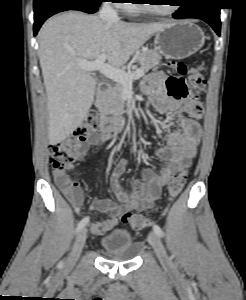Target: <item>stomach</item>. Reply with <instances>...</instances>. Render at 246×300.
<instances>
[{
	"label": "stomach",
	"mask_w": 246,
	"mask_h": 300,
	"mask_svg": "<svg viewBox=\"0 0 246 300\" xmlns=\"http://www.w3.org/2000/svg\"><path fill=\"white\" fill-rule=\"evenodd\" d=\"M205 43L202 29L190 21H175L155 34L156 50L170 59H184L196 53Z\"/></svg>",
	"instance_id": "0dacf381"
}]
</instances>
